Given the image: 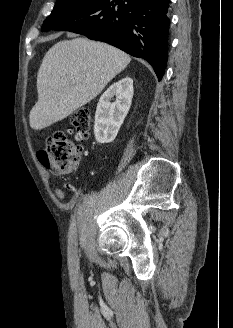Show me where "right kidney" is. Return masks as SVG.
Masks as SVG:
<instances>
[{
	"mask_svg": "<svg viewBox=\"0 0 233 328\" xmlns=\"http://www.w3.org/2000/svg\"><path fill=\"white\" fill-rule=\"evenodd\" d=\"M133 80L125 77L112 84L100 97L94 124V135L97 142H112L123 124L133 98ZM116 96L115 102L110 100Z\"/></svg>",
	"mask_w": 233,
	"mask_h": 328,
	"instance_id": "obj_1",
	"label": "right kidney"
}]
</instances>
